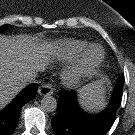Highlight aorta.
I'll use <instances>...</instances> for the list:
<instances>
[{
    "instance_id": "obj_1",
    "label": "aorta",
    "mask_w": 135,
    "mask_h": 135,
    "mask_svg": "<svg viewBox=\"0 0 135 135\" xmlns=\"http://www.w3.org/2000/svg\"><path fill=\"white\" fill-rule=\"evenodd\" d=\"M41 107L46 112H53L57 108V100L51 95H45L41 100Z\"/></svg>"
}]
</instances>
